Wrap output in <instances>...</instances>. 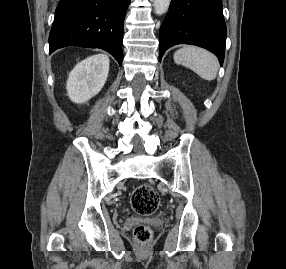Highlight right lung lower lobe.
I'll use <instances>...</instances> for the list:
<instances>
[{
	"label": "right lung lower lobe",
	"instance_id": "right-lung-lower-lobe-1",
	"mask_svg": "<svg viewBox=\"0 0 286 269\" xmlns=\"http://www.w3.org/2000/svg\"><path fill=\"white\" fill-rule=\"evenodd\" d=\"M130 0H60L49 35L50 53L71 45L101 48L121 65L123 22Z\"/></svg>",
	"mask_w": 286,
	"mask_h": 269
}]
</instances>
